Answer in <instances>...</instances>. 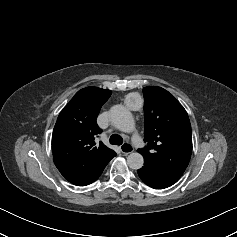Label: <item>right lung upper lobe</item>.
Segmentation results:
<instances>
[{"mask_svg": "<svg viewBox=\"0 0 237 237\" xmlns=\"http://www.w3.org/2000/svg\"><path fill=\"white\" fill-rule=\"evenodd\" d=\"M111 93L98 87H86L64 107L52 135L54 161L64 162L73 171L93 173L116 156L102 142L96 145L94 141L101 133L95 122L97 115Z\"/></svg>", "mask_w": 237, "mask_h": 237, "instance_id": "right-lung-upper-lobe-1", "label": "right lung upper lobe"}]
</instances>
